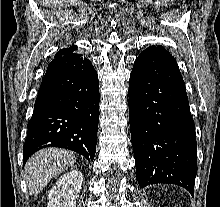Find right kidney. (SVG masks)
<instances>
[{"label": "right kidney", "mask_w": 220, "mask_h": 207, "mask_svg": "<svg viewBox=\"0 0 220 207\" xmlns=\"http://www.w3.org/2000/svg\"><path fill=\"white\" fill-rule=\"evenodd\" d=\"M83 184V174L72 170L62 175L51 188L48 195V207H75Z\"/></svg>", "instance_id": "ca27d5eb"}]
</instances>
